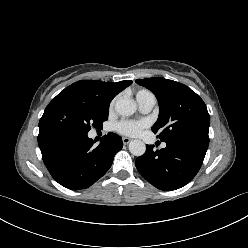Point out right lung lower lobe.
I'll use <instances>...</instances> for the list:
<instances>
[{
    "label": "right lung lower lobe",
    "instance_id": "1",
    "mask_svg": "<svg viewBox=\"0 0 248 248\" xmlns=\"http://www.w3.org/2000/svg\"><path fill=\"white\" fill-rule=\"evenodd\" d=\"M87 134L68 131H39L38 145L49 173L62 186L85 189L101 178L121 150L122 138L108 133L97 147Z\"/></svg>",
    "mask_w": 248,
    "mask_h": 248
}]
</instances>
